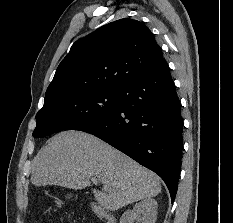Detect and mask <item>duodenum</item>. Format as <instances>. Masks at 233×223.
<instances>
[{
  "instance_id": "duodenum-1",
  "label": "duodenum",
  "mask_w": 233,
  "mask_h": 223,
  "mask_svg": "<svg viewBox=\"0 0 233 223\" xmlns=\"http://www.w3.org/2000/svg\"><path fill=\"white\" fill-rule=\"evenodd\" d=\"M91 208L95 215L105 223H116L115 217L98 203H92Z\"/></svg>"
}]
</instances>
